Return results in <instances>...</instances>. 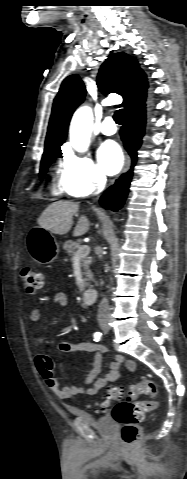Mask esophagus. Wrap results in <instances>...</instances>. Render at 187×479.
<instances>
[{
  "label": "esophagus",
  "instance_id": "obj_1",
  "mask_svg": "<svg viewBox=\"0 0 187 479\" xmlns=\"http://www.w3.org/2000/svg\"><path fill=\"white\" fill-rule=\"evenodd\" d=\"M129 163H130V160H129V157H128L127 160H126V163H125L124 171H127V170H128V168H129Z\"/></svg>",
  "mask_w": 187,
  "mask_h": 479
}]
</instances>
